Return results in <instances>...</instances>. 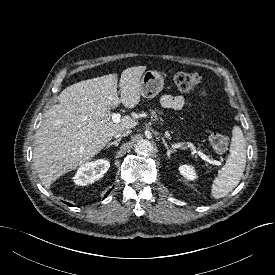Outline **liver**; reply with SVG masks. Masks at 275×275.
Here are the masks:
<instances>
[{
  "label": "liver",
  "mask_w": 275,
  "mask_h": 275,
  "mask_svg": "<svg viewBox=\"0 0 275 275\" xmlns=\"http://www.w3.org/2000/svg\"><path fill=\"white\" fill-rule=\"evenodd\" d=\"M146 66L125 69L119 81L113 73L75 83L58 96L36 131L33 163L42 184L49 188L60 176L91 160L115 136L138 122L125 115L111 120V109L140 102V81Z\"/></svg>",
  "instance_id": "1"
}]
</instances>
